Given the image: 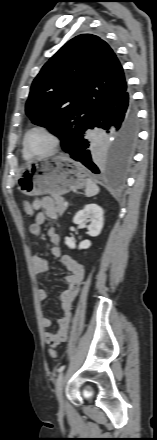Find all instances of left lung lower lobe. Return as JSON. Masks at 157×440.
Wrapping results in <instances>:
<instances>
[{
  "instance_id": "obj_1",
  "label": "left lung lower lobe",
  "mask_w": 157,
  "mask_h": 440,
  "mask_svg": "<svg viewBox=\"0 0 157 440\" xmlns=\"http://www.w3.org/2000/svg\"><path fill=\"white\" fill-rule=\"evenodd\" d=\"M90 130H101L108 136L95 138L89 136ZM137 132V109L127 88L96 110L67 153L95 174L120 176L130 163Z\"/></svg>"
}]
</instances>
